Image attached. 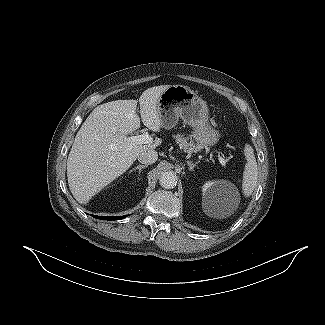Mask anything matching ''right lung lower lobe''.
<instances>
[{
	"label": "right lung lower lobe",
	"mask_w": 325,
	"mask_h": 325,
	"mask_svg": "<svg viewBox=\"0 0 325 325\" xmlns=\"http://www.w3.org/2000/svg\"><path fill=\"white\" fill-rule=\"evenodd\" d=\"M127 215L124 216H119V217H106V216H95L93 215V217L97 218V219H101V220H120L122 218H125Z\"/></svg>",
	"instance_id": "obj_1"
}]
</instances>
